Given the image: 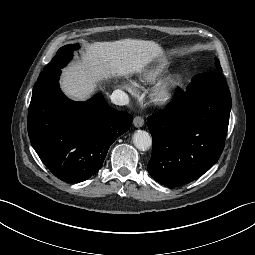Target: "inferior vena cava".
<instances>
[{"label": "inferior vena cava", "mask_w": 255, "mask_h": 255, "mask_svg": "<svg viewBox=\"0 0 255 255\" xmlns=\"http://www.w3.org/2000/svg\"><path fill=\"white\" fill-rule=\"evenodd\" d=\"M111 102L119 106L127 105L129 103V97L124 91L117 89L111 94Z\"/></svg>", "instance_id": "602c4592"}]
</instances>
